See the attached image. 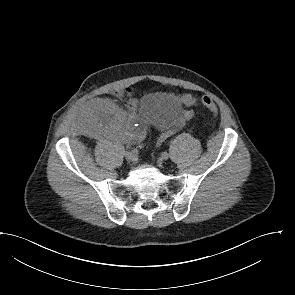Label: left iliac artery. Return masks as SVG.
<instances>
[{"label":"left iliac artery","instance_id":"left-iliac-artery-1","mask_svg":"<svg viewBox=\"0 0 295 295\" xmlns=\"http://www.w3.org/2000/svg\"><path fill=\"white\" fill-rule=\"evenodd\" d=\"M166 155H167V152H163L161 156L165 157Z\"/></svg>","mask_w":295,"mask_h":295}]
</instances>
